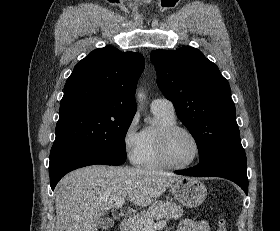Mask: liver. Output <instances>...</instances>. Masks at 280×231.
I'll return each instance as SVG.
<instances>
[{
  "mask_svg": "<svg viewBox=\"0 0 280 231\" xmlns=\"http://www.w3.org/2000/svg\"><path fill=\"white\" fill-rule=\"evenodd\" d=\"M180 175L139 167L88 165L67 173L56 187L55 231H98L101 215L127 197L137 207L156 201Z\"/></svg>",
  "mask_w": 280,
  "mask_h": 231,
  "instance_id": "liver-1",
  "label": "liver"
}]
</instances>
